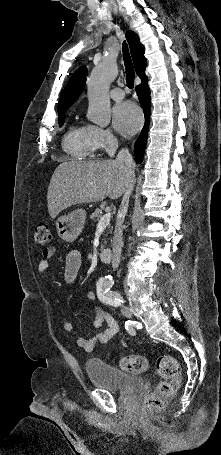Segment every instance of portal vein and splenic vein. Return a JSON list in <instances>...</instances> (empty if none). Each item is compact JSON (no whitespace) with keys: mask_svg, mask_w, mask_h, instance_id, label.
I'll return each instance as SVG.
<instances>
[{"mask_svg":"<svg viewBox=\"0 0 221 455\" xmlns=\"http://www.w3.org/2000/svg\"><path fill=\"white\" fill-rule=\"evenodd\" d=\"M110 218H111V213H110V212H107L106 214H104V215L100 218V220H99V222H98V224H97V227H98V228H105L106 226H108L109 223H110Z\"/></svg>","mask_w":221,"mask_h":455,"instance_id":"portal-vein-and-splenic-vein-1","label":"portal vein and splenic vein"}]
</instances>
